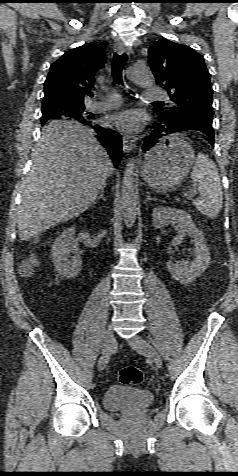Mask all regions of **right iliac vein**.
<instances>
[{
  "label": "right iliac vein",
  "mask_w": 238,
  "mask_h": 476,
  "mask_svg": "<svg viewBox=\"0 0 238 476\" xmlns=\"http://www.w3.org/2000/svg\"><path fill=\"white\" fill-rule=\"evenodd\" d=\"M115 347V338L112 326L109 325L104 333L103 344H102V356L98 362V370L102 371L109 360L111 353Z\"/></svg>",
  "instance_id": "obj_1"
}]
</instances>
